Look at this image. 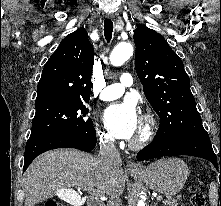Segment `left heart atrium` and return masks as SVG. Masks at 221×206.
Masks as SVG:
<instances>
[{"label":"left heart atrium","mask_w":221,"mask_h":206,"mask_svg":"<svg viewBox=\"0 0 221 206\" xmlns=\"http://www.w3.org/2000/svg\"><path fill=\"white\" fill-rule=\"evenodd\" d=\"M109 132L117 138L132 139L139 131L141 120L131 102L110 105L103 113Z\"/></svg>","instance_id":"left-heart-atrium-1"}]
</instances>
